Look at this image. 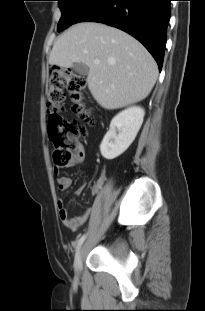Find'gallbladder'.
Instances as JSON below:
<instances>
[{
    "label": "gallbladder",
    "instance_id": "obj_1",
    "mask_svg": "<svg viewBox=\"0 0 205 311\" xmlns=\"http://www.w3.org/2000/svg\"><path fill=\"white\" fill-rule=\"evenodd\" d=\"M73 69L76 73H78L82 76H86L89 72L88 66L83 64V63H75L73 65Z\"/></svg>",
    "mask_w": 205,
    "mask_h": 311
}]
</instances>
